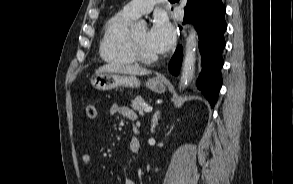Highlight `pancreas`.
<instances>
[{
    "mask_svg": "<svg viewBox=\"0 0 293 184\" xmlns=\"http://www.w3.org/2000/svg\"><path fill=\"white\" fill-rule=\"evenodd\" d=\"M146 103L143 100L141 96H137L134 100L131 102V108L133 110L139 111L141 113L145 107Z\"/></svg>",
    "mask_w": 293,
    "mask_h": 184,
    "instance_id": "pancreas-1",
    "label": "pancreas"
}]
</instances>
